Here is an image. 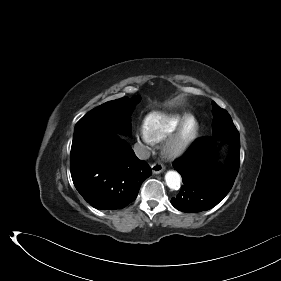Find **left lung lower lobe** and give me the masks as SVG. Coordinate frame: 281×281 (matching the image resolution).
<instances>
[{
	"mask_svg": "<svg viewBox=\"0 0 281 281\" xmlns=\"http://www.w3.org/2000/svg\"><path fill=\"white\" fill-rule=\"evenodd\" d=\"M219 139L214 136L199 138L173 163L183 179L179 194L171 199L179 211L193 213L211 209L232 188L240 165L239 133L229 138L233 147L224 166L217 165L216 141Z\"/></svg>",
	"mask_w": 281,
	"mask_h": 281,
	"instance_id": "obj_1",
	"label": "left lung lower lobe"
}]
</instances>
